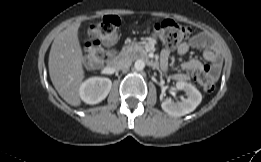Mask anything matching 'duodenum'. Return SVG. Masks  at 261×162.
Segmentation results:
<instances>
[{
	"label": "duodenum",
	"instance_id": "410a0bca",
	"mask_svg": "<svg viewBox=\"0 0 261 162\" xmlns=\"http://www.w3.org/2000/svg\"><path fill=\"white\" fill-rule=\"evenodd\" d=\"M136 53L140 57H142L149 66H151L153 68L159 67V63L156 60L149 58L145 50L137 49ZM103 62L101 64H99V66L103 70H107V71L111 72L113 69L117 68V65L119 63V58L114 50H109L108 53L105 54Z\"/></svg>",
	"mask_w": 261,
	"mask_h": 162
}]
</instances>
